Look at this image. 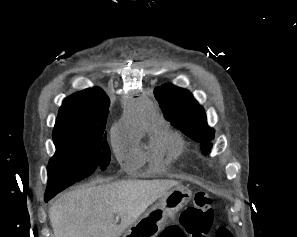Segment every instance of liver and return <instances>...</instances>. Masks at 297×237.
<instances>
[{
    "instance_id": "liver-1",
    "label": "liver",
    "mask_w": 297,
    "mask_h": 237,
    "mask_svg": "<svg viewBox=\"0 0 297 237\" xmlns=\"http://www.w3.org/2000/svg\"><path fill=\"white\" fill-rule=\"evenodd\" d=\"M179 185L174 180H130L81 186L50 208L53 237H119L159 197ZM121 223L117 225L114 215Z\"/></svg>"
}]
</instances>
